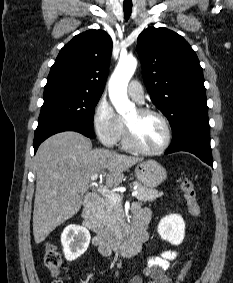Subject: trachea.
<instances>
[{
    "label": "trachea",
    "instance_id": "3493384b",
    "mask_svg": "<svg viewBox=\"0 0 233 283\" xmlns=\"http://www.w3.org/2000/svg\"><path fill=\"white\" fill-rule=\"evenodd\" d=\"M123 10H124L125 19L128 20L132 12V6H123Z\"/></svg>",
    "mask_w": 233,
    "mask_h": 283
}]
</instances>
